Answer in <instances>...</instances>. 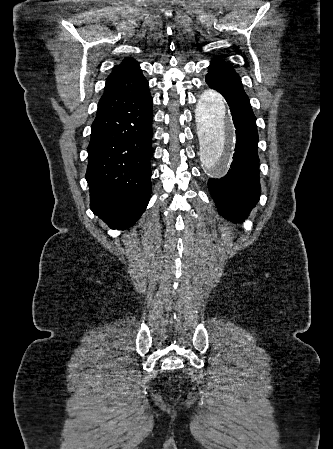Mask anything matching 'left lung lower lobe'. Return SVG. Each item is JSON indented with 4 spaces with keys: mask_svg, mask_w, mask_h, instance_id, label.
<instances>
[{
    "mask_svg": "<svg viewBox=\"0 0 333 449\" xmlns=\"http://www.w3.org/2000/svg\"><path fill=\"white\" fill-rule=\"evenodd\" d=\"M206 83L224 96L236 128L231 169L220 179L210 178L209 189L220 214L230 221L241 222L259 200L256 117L240 79L208 72Z\"/></svg>",
    "mask_w": 333,
    "mask_h": 449,
    "instance_id": "left-lung-lower-lobe-1",
    "label": "left lung lower lobe"
}]
</instances>
